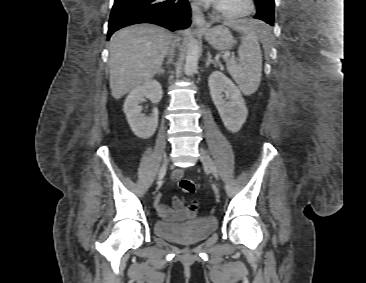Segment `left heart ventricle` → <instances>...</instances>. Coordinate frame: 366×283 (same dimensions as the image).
<instances>
[{"label":"left heart ventricle","mask_w":366,"mask_h":283,"mask_svg":"<svg viewBox=\"0 0 366 283\" xmlns=\"http://www.w3.org/2000/svg\"><path fill=\"white\" fill-rule=\"evenodd\" d=\"M219 3L229 9H240L244 6L243 0H220Z\"/></svg>","instance_id":"obj_1"}]
</instances>
